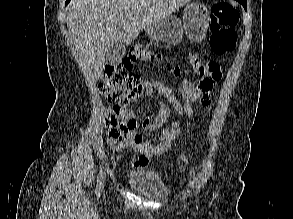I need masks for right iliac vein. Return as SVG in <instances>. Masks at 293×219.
Instances as JSON below:
<instances>
[{"instance_id":"obj_1","label":"right iliac vein","mask_w":293,"mask_h":219,"mask_svg":"<svg viewBox=\"0 0 293 219\" xmlns=\"http://www.w3.org/2000/svg\"><path fill=\"white\" fill-rule=\"evenodd\" d=\"M104 186H105V183L103 182V188H104ZM103 188H102V189H103Z\"/></svg>"}]
</instances>
